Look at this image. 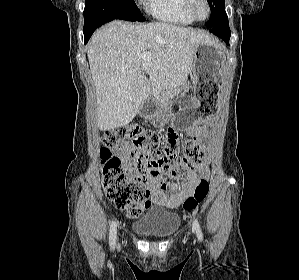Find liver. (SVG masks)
Instances as JSON below:
<instances>
[{"instance_id":"liver-1","label":"liver","mask_w":299,"mask_h":280,"mask_svg":"<svg viewBox=\"0 0 299 280\" xmlns=\"http://www.w3.org/2000/svg\"><path fill=\"white\" fill-rule=\"evenodd\" d=\"M214 43L210 36L165 22L136 25L112 21L91 37L88 60L96 89L97 124L103 131L128 125L149 94L183 85L191 72L194 49ZM151 52L148 62L141 55ZM143 72L150 76L149 84Z\"/></svg>"}]
</instances>
